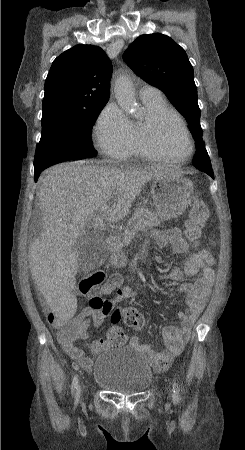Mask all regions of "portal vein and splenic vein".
I'll use <instances>...</instances> for the list:
<instances>
[{"mask_svg":"<svg viewBox=\"0 0 245 450\" xmlns=\"http://www.w3.org/2000/svg\"><path fill=\"white\" fill-rule=\"evenodd\" d=\"M101 213H102L103 215L108 214V213H109V207H108V206H103V207L101 208Z\"/></svg>","mask_w":245,"mask_h":450,"instance_id":"portal-vein-and-splenic-vein-1","label":"portal vein and splenic vein"}]
</instances>
